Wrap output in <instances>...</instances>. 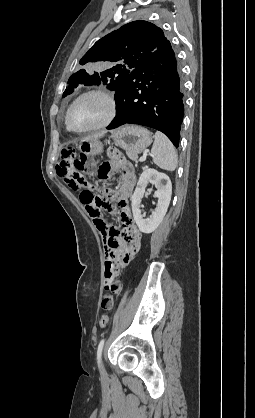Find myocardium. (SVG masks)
I'll return each instance as SVG.
<instances>
[{"instance_id":"1","label":"myocardium","mask_w":255,"mask_h":418,"mask_svg":"<svg viewBox=\"0 0 255 418\" xmlns=\"http://www.w3.org/2000/svg\"><path fill=\"white\" fill-rule=\"evenodd\" d=\"M89 95H99L106 100V102L108 104L107 114H106L105 118L100 123H98L94 126H91L89 128H85V129H74L70 125V121H69L70 112H71L72 108L74 107V105L79 100H81L82 98H84L86 96H89ZM116 113H117L116 101H115L114 97L108 91H106L104 89H98V88L89 89V90H86V91L82 92L81 94H79L71 102V104L67 108V111H66V114H65V124H66L67 129L71 132H74V133L82 134V133L94 132V131L104 129L107 126H109L112 123V121L114 120V118L116 116Z\"/></svg>"}]
</instances>
